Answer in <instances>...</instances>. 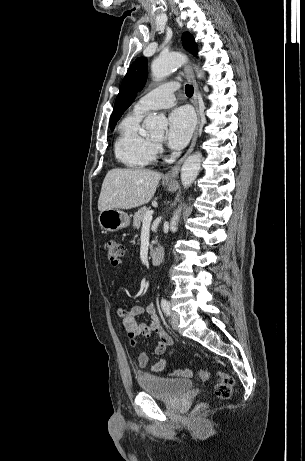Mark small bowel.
Here are the masks:
<instances>
[{
  "mask_svg": "<svg viewBox=\"0 0 305 461\" xmlns=\"http://www.w3.org/2000/svg\"><path fill=\"white\" fill-rule=\"evenodd\" d=\"M112 265L123 270L125 273L128 272L127 268L121 261ZM144 310H146L149 317V323L139 322L137 320V318L144 313ZM115 313L117 317L121 319L122 327L132 347H137L140 344V336L150 338L152 335H156L158 338L154 348L143 351L139 354L138 364L141 368L146 367L150 355H162L168 346L173 345L174 341L172 337L162 328L152 302H149L145 309L141 305H133L131 307L116 306ZM173 356L174 352L172 351L167 357L160 359L152 367V371L156 373L163 371L165 367L171 363ZM191 374L192 373L189 369H176L170 373V375L179 377H190Z\"/></svg>",
  "mask_w": 305,
  "mask_h": 461,
  "instance_id": "obj_1",
  "label": "small bowel"
}]
</instances>
